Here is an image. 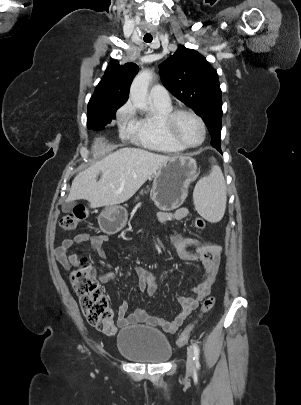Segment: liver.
Here are the masks:
<instances>
[{
  "label": "liver",
  "mask_w": 301,
  "mask_h": 405,
  "mask_svg": "<svg viewBox=\"0 0 301 405\" xmlns=\"http://www.w3.org/2000/svg\"><path fill=\"white\" fill-rule=\"evenodd\" d=\"M169 158L140 148L117 150L76 175L67 202L85 199L91 208L121 204L129 200ZM100 172L102 176L97 181Z\"/></svg>",
  "instance_id": "liver-1"
}]
</instances>
